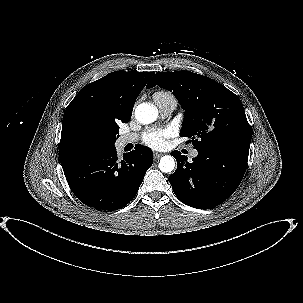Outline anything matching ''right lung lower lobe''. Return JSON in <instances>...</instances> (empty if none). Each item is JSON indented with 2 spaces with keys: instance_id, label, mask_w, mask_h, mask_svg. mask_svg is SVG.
<instances>
[{
  "instance_id": "1",
  "label": "right lung lower lobe",
  "mask_w": 303,
  "mask_h": 303,
  "mask_svg": "<svg viewBox=\"0 0 303 303\" xmlns=\"http://www.w3.org/2000/svg\"><path fill=\"white\" fill-rule=\"evenodd\" d=\"M153 163L147 147L117 156L115 146L62 166L70 189L84 204L102 211L126 206Z\"/></svg>"
}]
</instances>
